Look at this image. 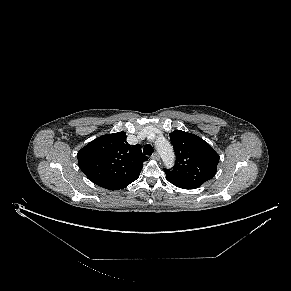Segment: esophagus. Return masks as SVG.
I'll return each instance as SVG.
<instances>
[{
	"label": "esophagus",
	"instance_id": "34e87169",
	"mask_svg": "<svg viewBox=\"0 0 291 291\" xmlns=\"http://www.w3.org/2000/svg\"><path fill=\"white\" fill-rule=\"evenodd\" d=\"M152 158L155 159V160H159L160 159V156L157 152L153 153L152 154Z\"/></svg>",
	"mask_w": 291,
	"mask_h": 291
}]
</instances>
